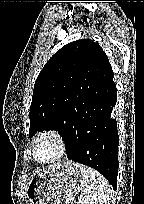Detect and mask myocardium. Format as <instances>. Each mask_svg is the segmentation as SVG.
<instances>
[{"label":"myocardium","mask_w":144,"mask_h":204,"mask_svg":"<svg viewBox=\"0 0 144 204\" xmlns=\"http://www.w3.org/2000/svg\"><path fill=\"white\" fill-rule=\"evenodd\" d=\"M45 138L54 139L58 145L59 150H58L57 155L53 157L52 159L42 161L37 158L36 148H37L38 143ZM68 149H69V143L65 135L61 133L59 130L48 129V130L41 132L34 140L33 145H32V155L36 162L43 164V165H47V164H53L61 160L67 154Z\"/></svg>","instance_id":"myocardium-1"}]
</instances>
